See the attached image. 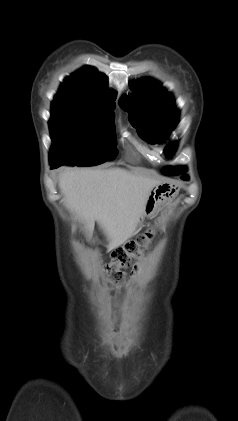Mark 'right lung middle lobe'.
<instances>
[{
  "mask_svg": "<svg viewBox=\"0 0 238 421\" xmlns=\"http://www.w3.org/2000/svg\"><path fill=\"white\" fill-rule=\"evenodd\" d=\"M115 105L55 98L49 121L50 162L94 166L117 156Z\"/></svg>",
  "mask_w": 238,
  "mask_h": 421,
  "instance_id": "right-lung-middle-lobe-1",
  "label": "right lung middle lobe"
}]
</instances>
